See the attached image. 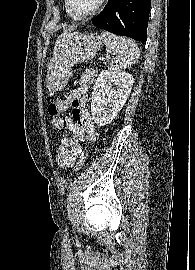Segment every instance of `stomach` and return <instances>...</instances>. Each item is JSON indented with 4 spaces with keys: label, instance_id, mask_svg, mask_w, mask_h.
<instances>
[{
    "label": "stomach",
    "instance_id": "0dacf381",
    "mask_svg": "<svg viewBox=\"0 0 195 270\" xmlns=\"http://www.w3.org/2000/svg\"><path fill=\"white\" fill-rule=\"evenodd\" d=\"M102 43L103 38L97 33L75 32L60 37L48 64V87L53 91L62 90L72 75L73 66L92 60Z\"/></svg>",
    "mask_w": 195,
    "mask_h": 270
}]
</instances>
